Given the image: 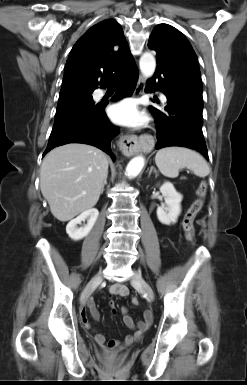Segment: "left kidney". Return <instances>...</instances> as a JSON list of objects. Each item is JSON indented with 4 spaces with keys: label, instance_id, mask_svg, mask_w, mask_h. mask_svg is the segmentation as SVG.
I'll return each mask as SVG.
<instances>
[{
    "label": "left kidney",
    "instance_id": "obj_1",
    "mask_svg": "<svg viewBox=\"0 0 247 385\" xmlns=\"http://www.w3.org/2000/svg\"><path fill=\"white\" fill-rule=\"evenodd\" d=\"M160 191L165 199V204L157 208L158 220L165 225L175 224L181 213V201L183 196L176 191L173 184L165 182Z\"/></svg>",
    "mask_w": 247,
    "mask_h": 385
}]
</instances>
